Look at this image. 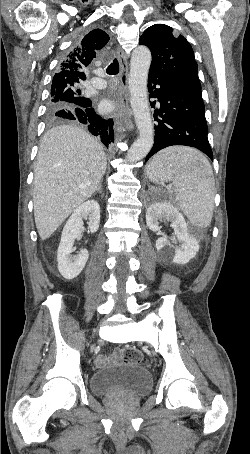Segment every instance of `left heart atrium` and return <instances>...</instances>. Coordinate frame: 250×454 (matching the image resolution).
I'll return each mask as SVG.
<instances>
[{
  "label": "left heart atrium",
  "instance_id": "obj_1",
  "mask_svg": "<svg viewBox=\"0 0 250 454\" xmlns=\"http://www.w3.org/2000/svg\"><path fill=\"white\" fill-rule=\"evenodd\" d=\"M113 108H114V104L110 101L105 100L101 103V109L105 113L112 111Z\"/></svg>",
  "mask_w": 250,
  "mask_h": 454
}]
</instances>
